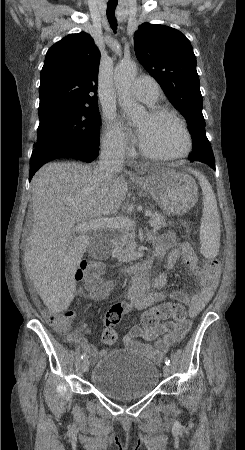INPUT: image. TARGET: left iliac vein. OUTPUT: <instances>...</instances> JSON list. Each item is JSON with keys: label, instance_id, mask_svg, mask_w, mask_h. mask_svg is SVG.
Listing matches in <instances>:
<instances>
[{"label": "left iliac vein", "instance_id": "left-iliac-vein-1", "mask_svg": "<svg viewBox=\"0 0 245 450\" xmlns=\"http://www.w3.org/2000/svg\"><path fill=\"white\" fill-rule=\"evenodd\" d=\"M163 373H164L165 376H168L170 374V368H169L168 365H165L163 367Z\"/></svg>", "mask_w": 245, "mask_h": 450}]
</instances>
